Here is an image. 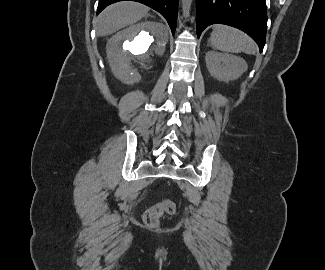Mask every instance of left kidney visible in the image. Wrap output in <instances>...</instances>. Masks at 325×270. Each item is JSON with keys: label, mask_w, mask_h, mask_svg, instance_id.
Returning <instances> with one entry per match:
<instances>
[{"label": "left kidney", "mask_w": 325, "mask_h": 270, "mask_svg": "<svg viewBox=\"0 0 325 270\" xmlns=\"http://www.w3.org/2000/svg\"><path fill=\"white\" fill-rule=\"evenodd\" d=\"M205 61L211 76L219 81L235 80L247 70L244 59L230 54L209 51L206 53Z\"/></svg>", "instance_id": "left-kidney-1"}]
</instances>
